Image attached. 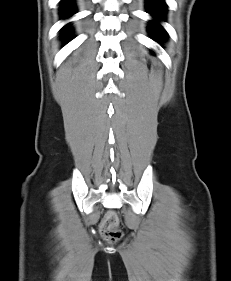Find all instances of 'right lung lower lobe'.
I'll return each mask as SVG.
<instances>
[{"label": "right lung lower lobe", "mask_w": 231, "mask_h": 281, "mask_svg": "<svg viewBox=\"0 0 231 281\" xmlns=\"http://www.w3.org/2000/svg\"><path fill=\"white\" fill-rule=\"evenodd\" d=\"M63 2L62 17H69L74 13L73 0H61Z\"/></svg>", "instance_id": "obj_1"}]
</instances>
